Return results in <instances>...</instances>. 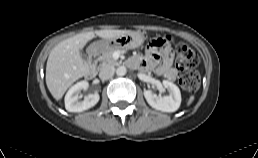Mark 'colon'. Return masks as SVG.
<instances>
[{
	"label": "colon",
	"mask_w": 258,
	"mask_h": 158,
	"mask_svg": "<svg viewBox=\"0 0 258 158\" xmlns=\"http://www.w3.org/2000/svg\"><path fill=\"white\" fill-rule=\"evenodd\" d=\"M167 37H158L152 40L149 47L160 49L168 43ZM199 63L197 54L188 46L178 44L176 46V65L184 71L179 78L180 86L190 92L196 91L199 87L200 78L194 69Z\"/></svg>",
	"instance_id": "1"
}]
</instances>
